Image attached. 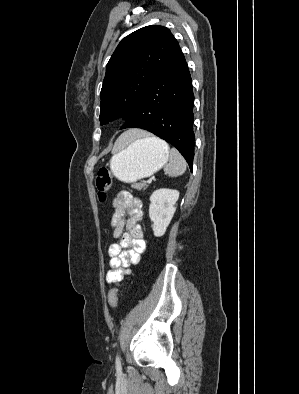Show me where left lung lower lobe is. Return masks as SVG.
I'll return each mask as SVG.
<instances>
[{"label":"left lung lower lobe","mask_w":299,"mask_h":394,"mask_svg":"<svg viewBox=\"0 0 299 394\" xmlns=\"http://www.w3.org/2000/svg\"><path fill=\"white\" fill-rule=\"evenodd\" d=\"M194 95L184 55L172 62L150 85L134 113L120 129H145L171 143L190 169L194 157Z\"/></svg>","instance_id":"0a47b994"}]
</instances>
